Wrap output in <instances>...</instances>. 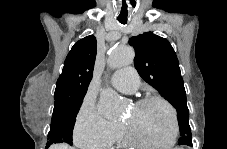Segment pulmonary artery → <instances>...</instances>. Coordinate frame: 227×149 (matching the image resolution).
I'll use <instances>...</instances> for the list:
<instances>
[{
	"mask_svg": "<svg viewBox=\"0 0 227 149\" xmlns=\"http://www.w3.org/2000/svg\"><path fill=\"white\" fill-rule=\"evenodd\" d=\"M139 76L136 70L131 67H124L115 71L111 76V84L118 91L132 94L139 88Z\"/></svg>",
	"mask_w": 227,
	"mask_h": 149,
	"instance_id": "1",
	"label": "pulmonary artery"
}]
</instances>
